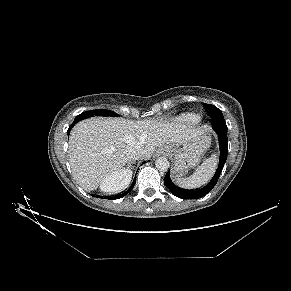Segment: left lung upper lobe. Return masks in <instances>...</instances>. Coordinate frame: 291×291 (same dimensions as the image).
I'll list each match as a JSON object with an SVG mask.
<instances>
[{
  "mask_svg": "<svg viewBox=\"0 0 291 291\" xmlns=\"http://www.w3.org/2000/svg\"><path fill=\"white\" fill-rule=\"evenodd\" d=\"M203 106L206 109L207 113L211 116L212 120H224L221 110L218 109L216 106L205 103H203ZM181 195L184 199H192L191 193L187 190L182 191Z\"/></svg>",
  "mask_w": 291,
  "mask_h": 291,
  "instance_id": "5c2ea615",
  "label": "left lung upper lobe"
}]
</instances>
